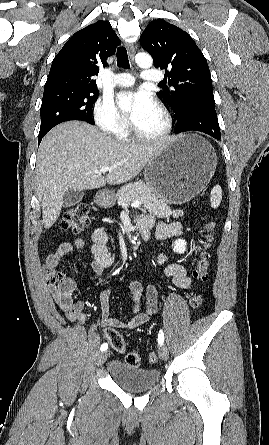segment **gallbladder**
Returning <instances> with one entry per match:
<instances>
[{"instance_id":"bac80fb5","label":"gallbladder","mask_w":269,"mask_h":445,"mask_svg":"<svg viewBox=\"0 0 269 445\" xmlns=\"http://www.w3.org/2000/svg\"><path fill=\"white\" fill-rule=\"evenodd\" d=\"M83 196V191L70 189L64 194L62 205L65 208L74 206L82 200Z\"/></svg>"}]
</instances>
